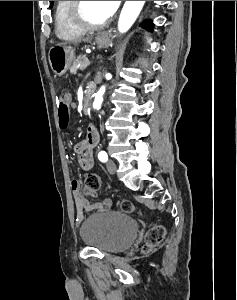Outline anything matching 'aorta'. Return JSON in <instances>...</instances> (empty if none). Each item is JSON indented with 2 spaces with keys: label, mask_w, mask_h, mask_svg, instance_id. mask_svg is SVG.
I'll return each mask as SVG.
<instances>
[{
  "label": "aorta",
  "mask_w": 237,
  "mask_h": 300,
  "mask_svg": "<svg viewBox=\"0 0 237 300\" xmlns=\"http://www.w3.org/2000/svg\"><path fill=\"white\" fill-rule=\"evenodd\" d=\"M144 3L145 1H126L118 21L119 33H126V31H129L130 27L135 23ZM104 93L105 87H101L95 95L93 109H101Z\"/></svg>",
  "instance_id": "aorta-1"
}]
</instances>
